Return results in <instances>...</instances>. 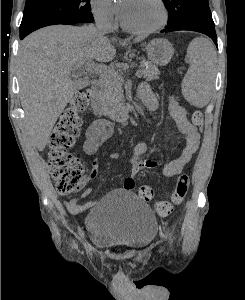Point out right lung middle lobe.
<instances>
[{
  "mask_svg": "<svg viewBox=\"0 0 245 300\" xmlns=\"http://www.w3.org/2000/svg\"><path fill=\"white\" fill-rule=\"evenodd\" d=\"M93 21L90 0H26L20 35L48 25Z\"/></svg>",
  "mask_w": 245,
  "mask_h": 300,
  "instance_id": "obj_1",
  "label": "right lung middle lobe"
}]
</instances>
